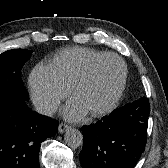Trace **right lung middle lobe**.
I'll return each mask as SVG.
<instances>
[{
  "label": "right lung middle lobe",
  "mask_w": 168,
  "mask_h": 168,
  "mask_svg": "<svg viewBox=\"0 0 168 168\" xmlns=\"http://www.w3.org/2000/svg\"><path fill=\"white\" fill-rule=\"evenodd\" d=\"M31 53L30 50L12 49L0 54V96L29 99L21 80V69Z\"/></svg>",
  "instance_id": "right-lung-middle-lobe-1"
}]
</instances>
